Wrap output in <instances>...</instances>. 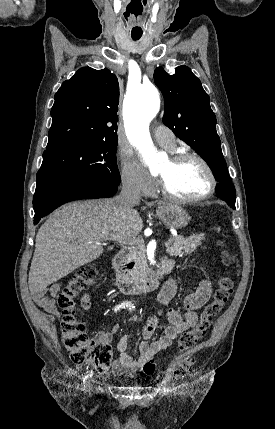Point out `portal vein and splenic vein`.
I'll list each match as a JSON object with an SVG mask.
<instances>
[{"mask_svg":"<svg viewBox=\"0 0 275 429\" xmlns=\"http://www.w3.org/2000/svg\"><path fill=\"white\" fill-rule=\"evenodd\" d=\"M112 240H115L116 242H118L120 244H129V245L134 244L137 241H140V240H137L135 238L126 237V236H123V235H114L112 237ZM170 244L171 243L168 240L167 242H165L164 246L168 247V246H170Z\"/></svg>","mask_w":275,"mask_h":429,"instance_id":"obj_1","label":"portal vein and splenic vein"}]
</instances>
